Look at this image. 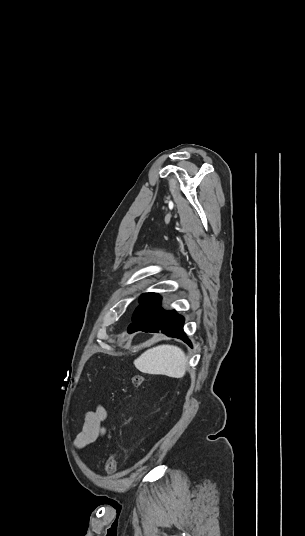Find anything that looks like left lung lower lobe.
I'll return each instance as SVG.
<instances>
[{
    "label": "left lung lower lobe",
    "instance_id": "1",
    "mask_svg": "<svg viewBox=\"0 0 305 536\" xmlns=\"http://www.w3.org/2000/svg\"><path fill=\"white\" fill-rule=\"evenodd\" d=\"M132 321L127 328L130 333L136 331L158 332L160 330L166 335L182 339L192 346L183 331V317L177 314L175 310L166 311L162 309L161 297L158 294H154L136 308Z\"/></svg>",
    "mask_w": 305,
    "mask_h": 536
}]
</instances>
